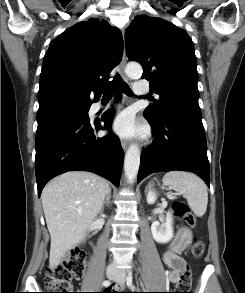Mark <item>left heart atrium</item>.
<instances>
[{
	"mask_svg": "<svg viewBox=\"0 0 245 293\" xmlns=\"http://www.w3.org/2000/svg\"><path fill=\"white\" fill-rule=\"evenodd\" d=\"M112 129L121 137H131L140 131L136 126L134 116L128 111L121 113L115 119Z\"/></svg>",
	"mask_w": 245,
	"mask_h": 293,
	"instance_id": "left-heart-atrium-1",
	"label": "left heart atrium"
}]
</instances>
